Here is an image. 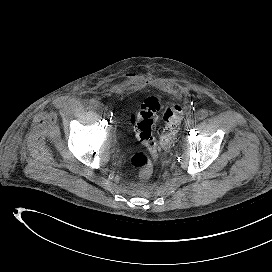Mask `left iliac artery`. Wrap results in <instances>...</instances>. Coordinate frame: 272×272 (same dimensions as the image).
Listing matches in <instances>:
<instances>
[{"instance_id": "1", "label": "left iliac artery", "mask_w": 272, "mask_h": 272, "mask_svg": "<svg viewBox=\"0 0 272 272\" xmlns=\"http://www.w3.org/2000/svg\"><path fill=\"white\" fill-rule=\"evenodd\" d=\"M196 116L199 120H203L208 116V112L203 110L199 112Z\"/></svg>"}]
</instances>
